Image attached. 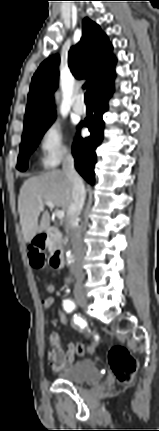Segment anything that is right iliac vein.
Here are the masks:
<instances>
[{"label": "right iliac vein", "mask_w": 159, "mask_h": 431, "mask_svg": "<svg viewBox=\"0 0 159 431\" xmlns=\"http://www.w3.org/2000/svg\"><path fill=\"white\" fill-rule=\"evenodd\" d=\"M75 299L80 307L85 308L87 306V298L82 291L75 292Z\"/></svg>", "instance_id": "obj_1"}]
</instances>
